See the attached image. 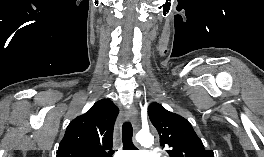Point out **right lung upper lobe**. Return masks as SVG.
Masks as SVG:
<instances>
[{
    "instance_id": "right-lung-upper-lobe-1",
    "label": "right lung upper lobe",
    "mask_w": 264,
    "mask_h": 157,
    "mask_svg": "<svg viewBox=\"0 0 264 157\" xmlns=\"http://www.w3.org/2000/svg\"><path fill=\"white\" fill-rule=\"evenodd\" d=\"M118 108L101 99L68 125L56 157H109ZM107 150H110L107 153Z\"/></svg>"
}]
</instances>
